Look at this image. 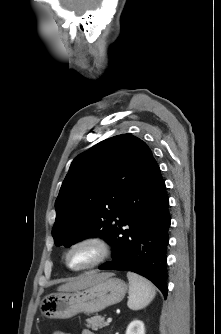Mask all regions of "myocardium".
<instances>
[{
	"label": "myocardium",
	"instance_id": "myocardium-1",
	"mask_svg": "<svg viewBox=\"0 0 221 334\" xmlns=\"http://www.w3.org/2000/svg\"><path fill=\"white\" fill-rule=\"evenodd\" d=\"M81 246H92L96 249L97 255L90 263L83 266H73L69 257L73 250ZM110 245L107 240L99 235H85L73 241L67 248L64 256L65 265L72 271H84L95 268L102 264L110 254Z\"/></svg>",
	"mask_w": 221,
	"mask_h": 334
}]
</instances>
